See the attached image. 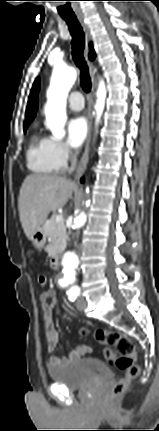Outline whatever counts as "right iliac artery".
<instances>
[{
  "label": "right iliac artery",
  "instance_id": "82829eb1",
  "mask_svg": "<svg viewBox=\"0 0 159 431\" xmlns=\"http://www.w3.org/2000/svg\"><path fill=\"white\" fill-rule=\"evenodd\" d=\"M76 291V289L75 288H71L68 292H67V294H68V296H69V299L71 300V301H74L75 300V298L73 297V295H74V292Z\"/></svg>",
  "mask_w": 159,
  "mask_h": 431
}]
</instances>
